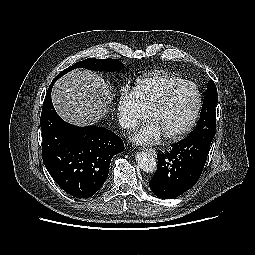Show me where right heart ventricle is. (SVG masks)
<instances>
[{"instance_id":"obj_1","label":"right heart ventricle","mask_w":255,"mask_h":255,"mask_svg":"<svg viewBox=\"0 0 255 255\" xmlns=\"http://www.w3.org/2000/svg\"><path fill=\"white\" fill-rule=\"evenodd\" d=\"M185 79L170 73L156 72L139 79L133 92L142 108L148 113L151 108L172 88Z\"/></svg>"}]
</instances>
